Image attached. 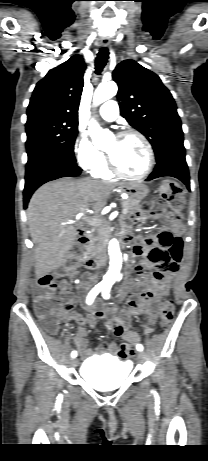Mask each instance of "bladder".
<instances>
[{
	"mask_svg": "<svg viewBox=\"0 0 208 461\" xmlns=\"http://www.w3.org/2000/svg\"><path fill=\"white\" fill-rule=\"evenodd\" d=\"M129 363L112 356H98L87 359L80 368L83 379L98 390L119 388L128 378Z\"/></svg>",
	"mask_w": 208,
	"mask_h": 461,
	"instance_id": "obj_1",
	"label": "bladder"
}]
</instances>
